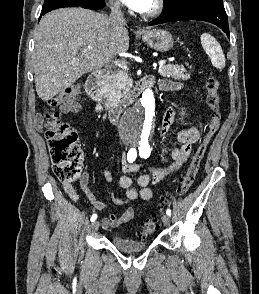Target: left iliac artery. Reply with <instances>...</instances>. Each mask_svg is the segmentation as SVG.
Here are the masks:
<instances>
[{
	"instance_id": "1",
	"label": "left iliac artery",
	"mask_w": 259,
	"mask_h": 294,
	"mask_svg": "<svg viewBox=\"0 0 259 294\" xmlns=\"http://www.w3.org/2000/svg\"><path fill=\"white\" fill-rule=\"evenodd\" d=\"M150 153H151V149H150V146H149L148 143H144V144L140 145V147H139V155H140V157H143V158L147 159L150 156ZM166 214L168 216H170L171 215V210L167 209Z\"/></svg>"
}]
</instances>
